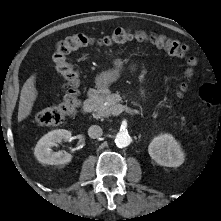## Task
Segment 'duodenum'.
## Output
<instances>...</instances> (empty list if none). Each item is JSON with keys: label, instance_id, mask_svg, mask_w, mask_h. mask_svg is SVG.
Segmentation results:
<instances>
[{"label": "duodenum", "instance_id": "1", "mask_svg": "<svg viewBox=\"0 0 221 221\" xmlns=\"http://www.w3.org/2000/svg\"><path fill=\"white\" fill-rule=\"evenodd\" d=\"M100 96L101 92L99 90H93L89 93L88 98L86 99L82 107L83 114H88L94 110Z\"/></svg>", "mask_w": 221, "mask_h": 221}]
</instances>
